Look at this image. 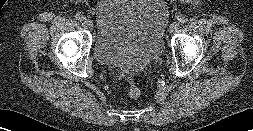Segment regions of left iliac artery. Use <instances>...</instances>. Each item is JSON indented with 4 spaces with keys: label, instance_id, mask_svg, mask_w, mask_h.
I'll use <instances>...</instances> for the list:
<instances>
[{
    "label": "left iliac artery",
    "instance_id": "44dca946",
    "mask_svg": "<svg viewBox=\"0 0 253 131\" xmlns=\"http://www.w3.org/2000/svg\"><path fill=\"white\" fill-rule=\"evenodd\" d=\"M187 21H188V19L184 16L178 17V23L181 24V25L186 23Z\"/></svg>",
    "mask_w": 253,
    "mask_h": 131
}]
</instances>
